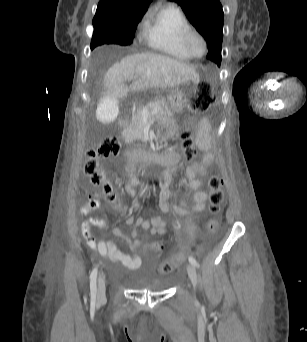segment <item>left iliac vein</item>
<instances>
[{
	"label": "left iliac vein",
	"instance_id": "4c4485c4",
	"mask_svg": "<svg viewBox=\"0 0 307 342\" xmlns=\"http://www.w3.org/2000/svg\"><path fill=\"white\" fill-rule=\"evenodd\" d=\"M187 271H188V275H189V278L191 280L193 287H196V285H197V273H196L195 267L191 264H188Z\"/></svg>",
	"mask_w": 307,
	"mask_h": 342
}]
</instances>
